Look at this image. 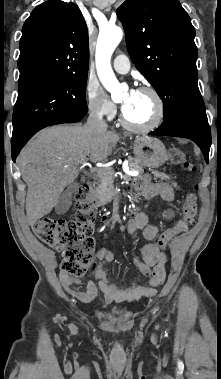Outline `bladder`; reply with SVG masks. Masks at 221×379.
Returning <instances> with one entry per match:
<instances>
[{
    "mask_svg": "<svg viewBox=\"0 0 221 379\" xmlns=\"http://www.w3.org/2000/svg\"><path fill=\"white\" fill-rule=\"evenodd\" d=\"M114 316H119V313L118 312H114Z\"/></svg>",
    "mask_w": 221,
    "mask_h": 379,
    "instance_id": "obj_1",
    "label": "bladder"
}]
</instances>
